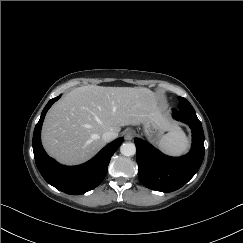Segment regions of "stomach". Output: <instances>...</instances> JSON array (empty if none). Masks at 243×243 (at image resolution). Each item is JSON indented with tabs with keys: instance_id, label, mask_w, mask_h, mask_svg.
<instances>
[{
	"instance_id": "stomach-1",
	"label": "stomach",
	"mask_w": 243,
	"mask_h": 243,
	"mask_svg": "<svg viewBox=\"0 0 243 243\" xmlns=\"http://www.w3.org/2000/svg\"><path fill=\"white\" fill-rule=\"evenodd\" d=\"M144 134L152 143L158 144L169 124L161 112L155 108L142 123Z\"/></svg>"
}]
</instances>
